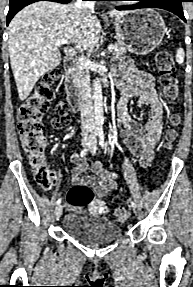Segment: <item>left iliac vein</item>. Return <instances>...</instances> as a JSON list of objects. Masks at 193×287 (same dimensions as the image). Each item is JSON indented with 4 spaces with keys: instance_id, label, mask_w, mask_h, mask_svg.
<instances>
[{
    "instance_id": "4c4485c4",
    "label": "left iliac vein",
    "mask_w": 193,
    "mask_h": 287,
    "mask_svg": "<svg viewBox=\"0 0 193 287\" xmlns=\"http://www.w3.org/2000/svg\"><path fill=\"white\" fill-rule=\"evenodd\" d=\"M96 145H97V142H96V140H94V142H93V144H92V146H91V149H90V151H91L92 154H95V153H96V149H97V146H96ZM132 210H133V213H134V214L137 213L136 208L132 207Z\"/></svg>"
}]
</instances>
